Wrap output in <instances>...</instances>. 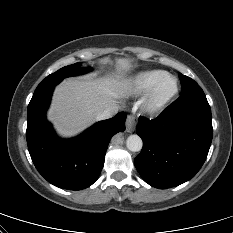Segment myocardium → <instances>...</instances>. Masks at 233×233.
Here are the masks:
<instances>
[{"label":"myocardium","mask_w":233,"mask_h":233,"mask_svg":"<svg viewBox=\"0 0 233 233\" xmlns=\"http://www.w3.org/2000/svg\"><path fill=\"white\" fill-rule=\"evenodd\" d=\"M166 81H170L172 83V89L165 95H161V87ZM178 92V80L174 76L166 73L155 82L149 91H147L143 99L142 109L148 114L158 113L173 101Z\"/></svg>","instance_id":"f54148a6"}]
</instances>
